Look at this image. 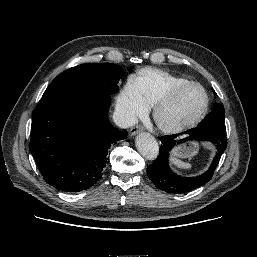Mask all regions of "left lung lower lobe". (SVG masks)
Instances as JSON below:
<instances>
[{"label":"left lung lower lobe","mask_w":257,"mask_h":257,"mask_svg":"<svg viewBox=\"0 0 257 257\" xmlns=\"http://www.w3.org/2000/svg\"><path fill=\"white\" fill-rule=\"evenodd\" d=\"M189 138L209 141L217 149L216 155L209 169L196 177H182L169 167V152L176 145V137L179 135H166L161 137V146L156 160L147 167V174L155 186L168 193L182 194L190 192L211 180L219 163L222 153L227 147L226 132H216L201 128H192L186 132Z\"/></svg>","instance_id":"1"}]
</instances>
